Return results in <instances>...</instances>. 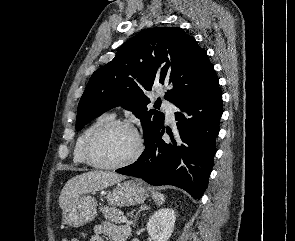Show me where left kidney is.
I'll return each mask as SVG.
<instances>
[{
  "label": "left kidney",
  "mask_w": 295,
  "mask_h": 241,
  "mask_svg": "<svg viewBox=\"0 0 295 241\" xmlns=\"http://www.w3.org/2000/svg\"><path fill=\"white\" fill-rule=\"evenodd\" d=\"M175 211L161 208L156 211L147 222V231L153 241H167L175 226Z\"/></svg>",
  "instance_id": "1"
}]
</instances>
